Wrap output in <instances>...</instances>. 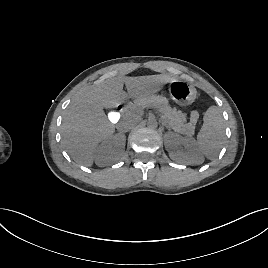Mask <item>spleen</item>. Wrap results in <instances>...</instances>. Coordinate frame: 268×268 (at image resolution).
Returning <instances> with one entry per match:
<instances>
[{
	"label": "spleen",
	"instance_id": "obj_1",
	"mask_svg": "<svg viewBox=\"0 0 268 268\" xmlns=\"http://www.w3.org/2000/svg\"><path fill=\"white\" fill-rule=\"evenodd\" d=\"M203 126L197 135V147L208 159H214L225 140V120L217 106H211L203 116Z\"/></svg>",
	"mask_w": 268,
	"mask_h": 268
}]
</instances>
